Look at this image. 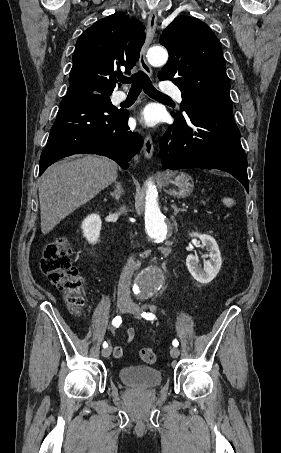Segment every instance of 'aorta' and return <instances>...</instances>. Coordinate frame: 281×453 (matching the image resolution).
<instances>
[{
    "label": "aorta",
    "instance_id": "1",
    "mask_svg": "<svg viewBox=\"0 0 281 453\" xmlns=\"http://www.w3.org/2000/svg\"><path fill=\"white\" fill-rule=\"evenodd\" d=\"M148 62L155 67L163 66L168 60V53L163 47L155 46L147 52ZM145 229L149 237L157 243L163 242L169 235L165 216L158 204V193L152 181L147 183L145 198ZM164 275L155 266H150L140 272L135 280V293L147 297L159 290L163 284Z\"/></svg>",
    "mask_w": 281,
    "mask_h": 453
}]
</instances>
